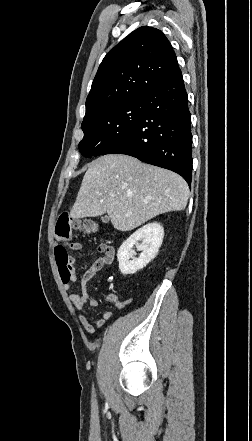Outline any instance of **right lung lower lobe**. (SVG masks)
I'll return each instance as SVG.
<instances>
[{
	"instance_id": "98d812e1",
	"label": "right lung lower lobe",
	"mask_w": 252,
	"mask_h": 441,
	"mask_svg": "<svg viewBox=\"0 0 252 441\" xmlns=\"http://www.w3.org/2000/svg\"><path fill=\"white\" fill-rule=\"evenodd\" d=\"M136 126L105 154H126L192 179V134L188 96L180 68L141 98Z\"/></svg>"
}]
</instances>
